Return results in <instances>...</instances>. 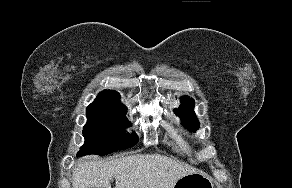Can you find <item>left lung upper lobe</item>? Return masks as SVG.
<instances>
[{
  "label": "left lung upper lobe",
  "instance_id": "1",
  "mask_svg": "<svg viewBox=\"0 0 292 188\" xmlns=\"http://www.w3.org/2000/svg\"><path fill=\"white\" fill-rule=\"evenodd\" d=\"M194 100L189 97H183L181 106L175 110L176 114L181 118L184 126L190 131H196L199 128V122L192 111Z\"/></svg>",
  "mask_w": 292,
  "mask_h": 188
}]
</instances>
